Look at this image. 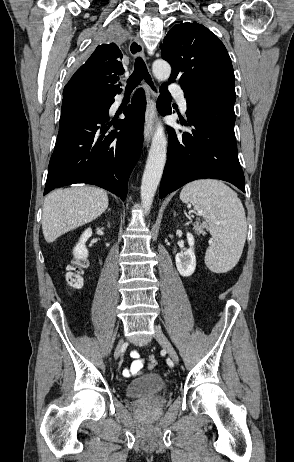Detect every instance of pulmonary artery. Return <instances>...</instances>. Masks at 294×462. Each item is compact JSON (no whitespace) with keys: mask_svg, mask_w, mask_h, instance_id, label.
Listing matches in <instances>:
<instances>
[{"mask_svg":"<svg viewBox=\"0 0 294 462\" xmlns=\"http://www.w3.org/2000/svg\"><path fill=\"white\" fill-rule=\"evenodd\" d=\"M172 92L183 113L187 112V102L183 90L180 87L173 86Z\"/></svg>","mask_w":294,"mask_h":462,"instance_id":"e3ab8cb5","label":"pulmonary artery"}]
</instances>
